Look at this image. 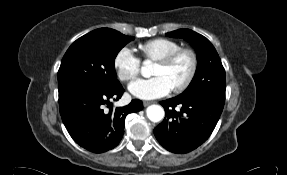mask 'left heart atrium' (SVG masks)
I'll list each match as a JSON object with an SVG mask.
<instances>
[{"label": "left heart atrium", "instance_id": "1", "mask_svg": "<svg viewBox=\"0 0 287 175\" xmlns=\"http://www.w3.org/2000/svg\"><path fill=\"white\" fill-rule=\"evenodd\" d=\"M169 81L162 75L148 79H137L129 85L130 93L140 99H156L172 91Z\"/></svg>", "mask_w": 287, "mask_h": 175}]
</instances>
